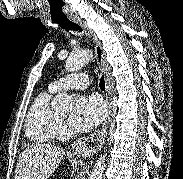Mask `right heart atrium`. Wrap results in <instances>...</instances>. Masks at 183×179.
<instances>
[{
  "label": "right heart atrium",
  "instance_id": "obj_1",
  "mask_svg": "<svg viewBox=\"0 0 183 179\" xmlns=\"http://www.w3.org/2000/svg\"><path fill=\"white\" fill-rule=\"evenodd\" d=\"M64 130V124H63V122H61V121H59V123H58V131H63Z\"/></svg>",
  "mask_w": 183,
  "mask_h": 179
}]
</instances>
